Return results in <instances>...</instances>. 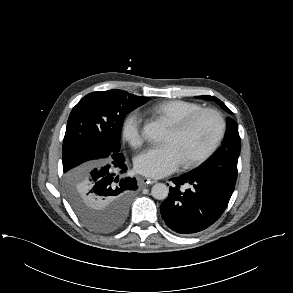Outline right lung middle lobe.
<instances>
[{
    "instance_id": "obj_1",
    "label": "right lung middle lobe",
    "mask_w": 293,
    "mask_h": 293,
    "mask_svg": "<svg viewBox=\"0 0 293 293\" xmlns=\"http://www.w3.org/2000/svg\"><path fill=\"white\" fill-rule=\"evenodd\" d=\"M149 100L123 90L92 92L72 109L63 142L62 160L69 201L78 217L91 229L108 232L124 218L116 213H99L85 196L90 160L118 158L125 115Z\"/></svg>"
}]
</instances>
